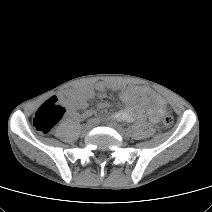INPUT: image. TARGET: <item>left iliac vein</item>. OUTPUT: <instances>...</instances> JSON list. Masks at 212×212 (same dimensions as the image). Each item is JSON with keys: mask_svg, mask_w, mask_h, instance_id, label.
I'll list each match as a JSON object with an SVG mask.
<instances>
[{"mask_svg": "<svg viewBox=\"0 0 212 212\" xmlns=\"http://www.w3.org/2000/svg\"><path fill=\"white\" fill-rule=\"evenodd\" d=\"M108 125L110 127H112L113 129H115L122 136H125L126 135L125 129L122 126H120L119 124H117L115 122H110Z\"/></svg>", "mask_w": 212, "mask_h": 212, "instance_id": "1", "label": "left iliac vein"}]
</instances>
